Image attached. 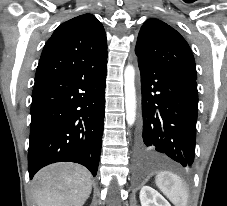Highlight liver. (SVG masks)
<instances>
[{"instance_id":"liver-1","label":"liver","mask_w":227,"mask_h":206,"mask_svg":"<svg viewBox=\"0 0 227 206\" xmlns=\"http://www.w3.org/2000/svg\"><path fill=\"white\" fill-rule=\"evenodd\" d=\"M36 206H83L92 190V175L75 163L44 167L33 180Z\"/></svg>"}]
</instances>
